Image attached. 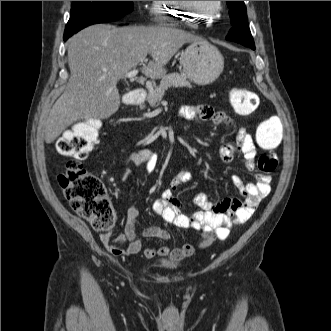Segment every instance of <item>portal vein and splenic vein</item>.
<instances>
[{
    "mask_svg": "<svg viewBox=\"0 0 331 331\" xmlns=\"http://www.w3.org/2000/svg\"><path fill=\"white\" fill-rule=\"evenodd\" d=\"M137 74H138V70L137 69H133V70L127 72L125 74V77L126 78H134V77H136Z\"/></svg>",
    "mask_w": 331,
    "mask_h": 331,
    "instance_id": "portal-vein-and-splenic-vein-1",
    "label": "portal vein and splenic vein"
}]
</instances>
